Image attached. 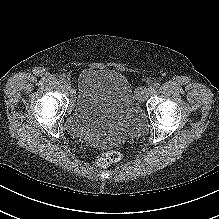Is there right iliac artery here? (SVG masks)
<instances>
[{
    "instance_id": "1",
    "label": "right iliac artery",
    "mask_w": 219,
    "mask_h": 219,
    "mask_svg": "<svg viewBox=\"0 0 219 219\" xmlns=\"http://www.w3.org/2000/svg\"><path fill=\"white\" fill-rule=\"evenodd\" d=\"M59 81H60L61 83L66 82V76H65V75H61V76L59 77Z\"/></svg>"
}]
</instances>
